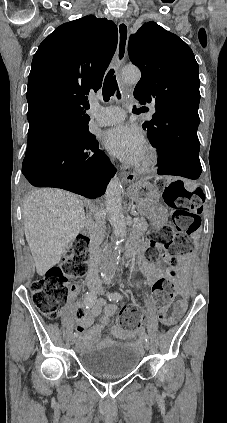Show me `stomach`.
I'll use <instances>...</instances> for the list:
<instances>
[{
	"label": "stomach",
	"mask_w": 227,
	"mask_h": 423,
	"mask_svg": "<svg viewBox=\"0 0 227 423\" xmlns=\"http://www.w3.org/2000/svg\"><path fill=\"white\" fill-rule=\"evenodd\" d=\"M131 198L135 200L137 208L142 213H149L152 208H155L160 194L156 190L154 184H150L147 180H138L129 188Z\"/></svg>",
	"instance_id": "obj_1"
}]
</instances>
